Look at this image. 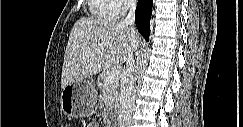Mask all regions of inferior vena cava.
<instances>
[{"instance_id": "inferior-vena-cava-1", "label": "inferior vena cava", "mask_w": 243, "mask_h": 127, "mask_svg": "<svg viewBox=\"0 0 243 127\" xmlns=\"http://www.w3.org/2000/svg\"><path fill=\"white\" fill-rule=\"evenodd\" d=\"M125 8L129 11L123 24L132 26L135 22V9L136 0H125ZM134 29V28H133ZM135 61L133 54L130 53L127 59V67L121 78V87L119 95V114H118V127H131L132 113L135 109Z\"/></svg>"}]
</instances>
